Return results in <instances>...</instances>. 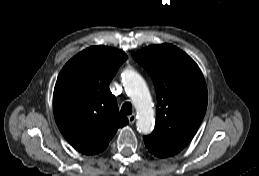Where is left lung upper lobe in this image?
<instances>
[{"label":"left lung upper lobe","mask_w":259,"mask_h":176,"mask_svg":"<svg viewBox=\"0 0 259 176\" xmlns=\"http://www.w3.org/2000/svg\"><path fill=\"white\" fill-rule=\"evenodd\" d=\"M133 58L151 75L157 93L155 130L144 136L153 155L166 158L185 148L197 132L207 108V88L198 65L171 45H151Z\"/></svg>","instance_id":"5c2ea615"}]
</instances>
